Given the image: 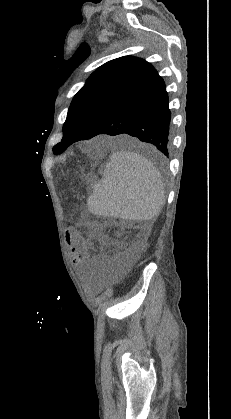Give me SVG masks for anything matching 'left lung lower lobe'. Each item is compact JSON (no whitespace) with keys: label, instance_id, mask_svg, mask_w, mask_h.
<instances>
[{"label":"left lung lower lobe","instance_id":"left-lung-lower-lobe-1","mask_svg":"<svg viewBox=\"0 0 231 419\" xmlns=\"http://www.w3.org/2000/svg\"><path fill=\"white\" fill-rule=\"evenodd\" d=\"M100 134H128L154 145L165 156L170 149V110L163 79L152 71L107 114L86 139Z\"/></svg>","mask_w":231,"mask_h":419}]
</instances>
